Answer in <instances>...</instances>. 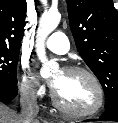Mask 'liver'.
Masks as SVG:
<instances>
[{
    "instance_id": "liver-1",
    "label": "liver",
    "mask_w": 118,
    "mask_h": 123,
    "mask_svg": "<svg viewBox=\"0 0 118 123\" xmlns=\"http://www.w3.org/2000/svg\"><path fill=\"white\" fill-rule=\"evenodd\" d=\"M0 123H22L20 115L17 112L8 106L0 102ZM35 123H39L36 120Z\"/></svg>"
}]
</instances>
